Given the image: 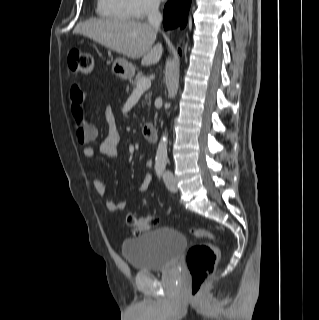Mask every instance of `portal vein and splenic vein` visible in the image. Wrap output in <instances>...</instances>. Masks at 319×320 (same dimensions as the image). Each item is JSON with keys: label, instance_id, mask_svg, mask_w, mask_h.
Wrapping results in <instances>:
<instances>
[{"label": "portal vein and splenic vein", "instance_id": "portal-vein-and-splenic-vein-1", "mask_svg": "<svg viewBox=\"0 0 319 320\" xmlns=\"http://www.w3.org/2000/svg\"><path fill=\"white\" fill-rule=\"evenodd\" d=\"M151 86V80L147 77L141 78L136 86V90H145Z\"/></svg>", "mask_w": 319, "mask_h": 320}]
</instances>
